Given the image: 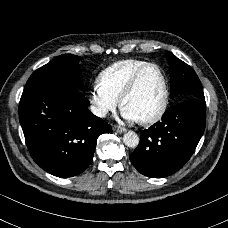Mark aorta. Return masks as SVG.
<instances>
[{
    "instance_id": "1",
    "label": "aorta",
    "mask_w": 228,
    "mask_h": 228,
    "mask_svg": "<svg viewBox=\"0 0 228 228\" xmlns=\"http://www.w3.org/2000/svg\"><path fill=\"white\" fill-rule=\"evenodd\" d=\"M123 142L130 148H136L139 144V137L135 132L128 131L123 136Z\"/></svg>"
}]
</instances>
